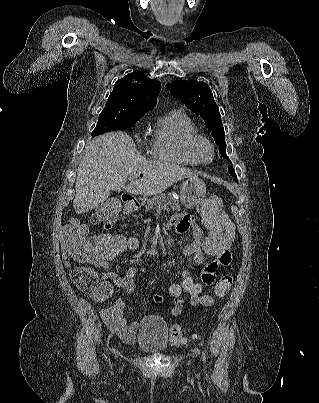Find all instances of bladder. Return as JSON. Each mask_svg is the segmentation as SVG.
Here are the masks:
<instances>
[{"mask_svg": "<svg viewBox=\"0 0 319 403\" xmlns=\"http://www.w3.org/2000/svg\"><path fill=\"white\" fill-rule=\"evenodd\" d=\"M139 334L135 345L146 353L157 354L166 350L168 344V325L158 315H150L139 324Z\"/></svg>", "mask_w": 319, "mask_h": 403, "instance_id": "bladder-1", "label": "bladder"}]
</instances>
